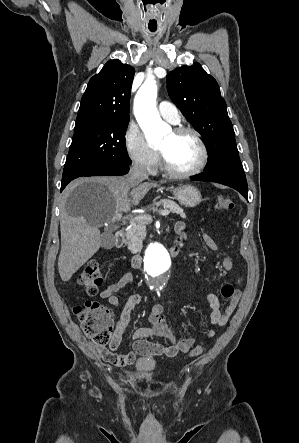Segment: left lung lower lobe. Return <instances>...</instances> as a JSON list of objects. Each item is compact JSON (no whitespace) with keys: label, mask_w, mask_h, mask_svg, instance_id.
Returning a JSON list of instances; mask_svg holds the SVG:
<instances>
[{"label":"left lung lower lobe","mask_w":299,"mask_h":443,"mask_svg":"<svg viewBox=\"0 0 299 443\" xmlns=\"http://www.w3.org/2000/svg\"><path fill=\"white\" fill-rule=\"evenodd\" d=\"M195 181L217 182L239 191L248 200V188L244 171L236 169H218L205 171L199 175L191 177Z\"/></svg>","instance_id":"obj_1"}]
</instances>
